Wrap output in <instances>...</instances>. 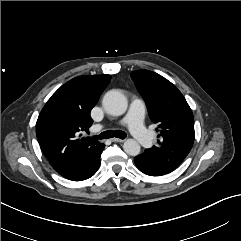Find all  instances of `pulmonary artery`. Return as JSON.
I'll return each mask as SVG.
<instances>
[{
	"mask_svg": "<svg viewBox=\"0 0 241 241\" xmlns=\"http://www.w3.org/2000/svg\"><path fill=\"white\" fill-rule=\"evenodd\" d=\"M144 103L136 98L132 101L127 117L119 124H127L132 135L144 147H150L153 144L152 134L143 125Z\"/></svg>",
	"mask_w": 241,
	"mask_h": 241,
	"instance_id": "obj_1",
	"label": "pulmonary artery"
}]
</instances>
